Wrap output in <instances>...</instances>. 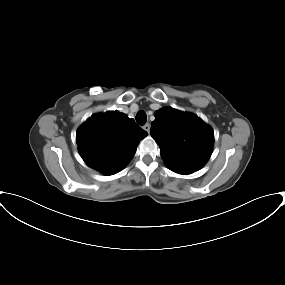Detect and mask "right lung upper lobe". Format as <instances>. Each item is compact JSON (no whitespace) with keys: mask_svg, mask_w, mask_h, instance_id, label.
Wrapping results in <instances>:
<instances>
[{"mask_svg":"<svg viewBox=\"0 0 285 285\" xmlns=\"http://www.w3.org/2000/svg\"><path fill=\"white\" fill-rule=\"evenodd\" d=\"M148 134L124 113L110 111L91 116L76 134L85 163L105 175L121 171Z\"/></svg>","mask_w":285,"mask_h":285,"instance_id":"cb5924a9","label":"right lung upper lobe"}]
</instances>
